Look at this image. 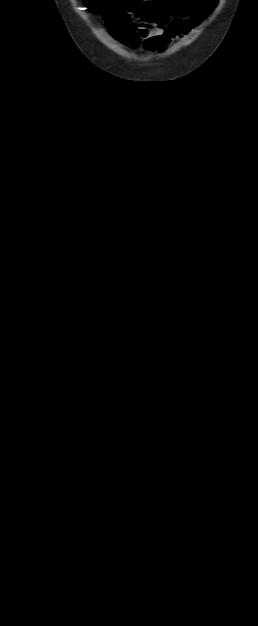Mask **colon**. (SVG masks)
<instances>
[{"label":"colon","mask_w":258,"mask_h":626,"mask_svg":"<svg viewBox=\"0 0 258 626\" xmlns=\"http://www.w3.org/2000/svg\"><path fill=\"white\" fill-rule=\"evenodd\" d=\"M87 4H89V5H90V1H87ZM93 9L97 10V9H99V7H98V6H96V7H94Z\"/></svg>","instance_id":"colon-1"}]
</instances>
